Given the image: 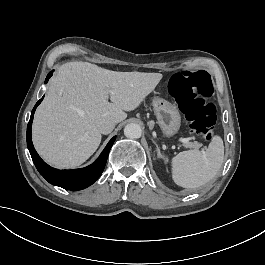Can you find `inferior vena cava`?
<instances>
[{
    "mask_svg": "<svg viewBox=\"0 0 265 265\" xmlns=\"http://www.w3.org/2000/svg\"><path fill=\"white\" fill-rule=\"evenodd\" d=\"M96 126L102 134H109L115 127V122L108 118H101L96 121Z\"/></svg>",
    "mask_w": 265,
    "mask_h": 265,
    "instance_id": "602c4592",
    "label": "inferior vena cava"
}]
</instances>
